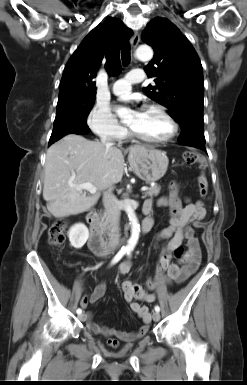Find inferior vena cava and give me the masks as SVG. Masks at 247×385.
Instances as JSON below:
<instances>
[{
  "label": "inferior vena cava",
  "mask_w": 247,
  "mask_h": 385,
  "mask_svg": "<svg viewBox=\"0 0 247 385\" xmlns=\"http://www.w3.org/2000/svg\"><path fill=\"white\" fill-rule=\"evenodd\" d=\"M101 142L106 147H111L113 145V143L106 140V138L104 137L101 139ZM103 203L109 218V224H110L109 240H110V245L113 247L118 243V240L120 237V234H119V220H120V214H121L120 206L118 204V200L111 193L110 190L104 194Z\"/></svg>",
  "instance_id": "602c4592"
}]
</instances>
